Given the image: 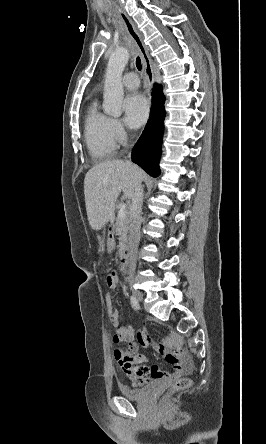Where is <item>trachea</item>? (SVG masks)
<instances>
[{
	"label": "trachea",
	"instance_id": "3493384b",
	"mask_svg": "<svg viewBox=\"0 0 266 444\" xmlns=\"http://www.w3.org/2000/svg\"><path fill=\"white\" fill-rule=\"evenodd\" d=\"M136 67L139 71L142 69V63L139 57L136 58Z\"/></svg>",
	"mask_w": 266,
	"mask_h": 444
}]
</instances>
